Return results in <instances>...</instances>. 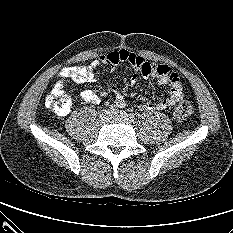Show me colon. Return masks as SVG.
<instances>
[{
	"label": "colon",
	"mask_w": 233,
	"mask_h": 233,
	"mask_svg": "<svg viewBox=\"0 0 233 233\" xmlns=\"http://www.w3.org/2000/svg\"><path fill=\"white\" fill-rule=\"evenodd\" d=\"M71 99L67 95H63V91L60 89L52 90L45 99V105L48 109L56 114L64 113L71 108ZM193 114V107L187 101H180L175 109L174 116L178 120H186Z\"/></svg>",
	"instance_id": "obj_1"
}]
</instances>
